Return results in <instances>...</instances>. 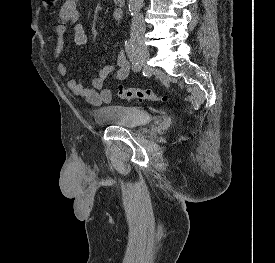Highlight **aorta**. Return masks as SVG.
<instances>
[{
  "label": "aorta",
  "mask_w": 275,
  "mask_h": 263,
  "mask_svg": "<svg viewBox=\"0 0 275 263\" xmlns=\"http://www.w3.org/2000/svg\"><path fill=\"white\" fill-rule=\"evenodd\" d=\"M144 0H129L128 1V9L131 15H135L140 12L143 6Z\"/></svg>",
  "instance_id": "762f6f07"
}]
</instances>
